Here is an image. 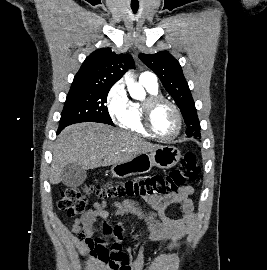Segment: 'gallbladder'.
<instances>
[{
    "label": "gallbladder",
    "mask_w": 267,
    "mask_h": 270,
    "mask_svg": "<svg viewBox=\"0 0 267 270\" xmlns=\"http://www.w3.org/2000/svg\"><path fill=\"white\" fill-rule=\"evenodd\" d=\"M87 177L86 170L77 164H68L64 167L62 173V183L68 187L80 186Z\"/></svg>",
    "instance_id": "bac80fb5"
}]
</instances>
